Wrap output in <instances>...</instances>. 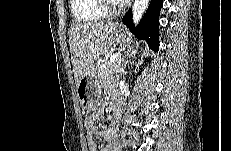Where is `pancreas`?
<instances>
[{
	"label": "pancreas",
	"instance_id": "pancreas-1",
	"mask_svg": "<svg viewBox=\"0 0 231 151\" xmlns=\"http://www.w3.org/2000/svg\"><path fill=\"white\" fill-rule=\"evenodd\" d=\"M120 62L117 61H110L109 58H104L100 61L97 65V75L98 78L101 80L119 70Z\"/></svg>",
	"mask_w": 231,
	"mask_h": 151
}]
</instances>
